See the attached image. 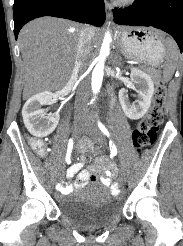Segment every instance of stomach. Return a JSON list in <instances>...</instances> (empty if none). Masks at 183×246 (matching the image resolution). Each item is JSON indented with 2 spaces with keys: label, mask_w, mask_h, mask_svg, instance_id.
<instances>
[{
  "label": "stomach",
  "mask_w": 183,
  "mask_h": 246,
  "mask_svg": "<svg viewBox=\"0 0 183 246\" xmlns=\"http://www.w3.org/2000/svg\"><path fill=\"white\" fill-rule=\"evenodd\" d=\"M121 51L129 58L156 66L164 58L166 49L157 30L147 28H121L117 33Z\"/></svg>",
  "instance_id": "0dacf381"
}]
</instances>
